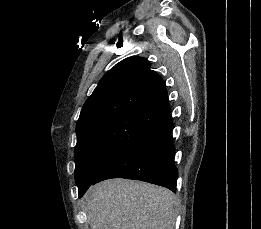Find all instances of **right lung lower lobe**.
<instances>
[{
    "label": "right lung lower lobe",
    "instance_id": "right-lung-lower-lobe-1",
    "mask_svg": "<svg viewBox=\"0 0 261 229\" xmlns=\"http://www.w3.org/2000/svg\"><path fill=\"white\" fill-rule=\"evenodd\" d=\"M172 129L173 121L169 115L148 136L106 167L92 184L108 178H127L175 191L178 171L174 163Z\"/></svg>",
    "mask_w": 261,
    "mask_h": 229
}]
</instances>
